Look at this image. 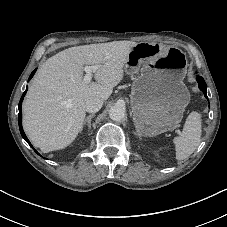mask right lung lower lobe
<instances>
[{
    "label": "right lung lower lobe",
    "mask_w": 227,
    "mask_h": 227,
    "mask_svg": "<svg viewBox=\"0 0 227 227\" xmlns=\"http://www.w3.org/2000/svg\"><path fill=\"white\" fill-rule=\"evenodd\" d=\"M36 70H34L30 77H29V80L33 77L34 73H35ZM28 90V87L26 88V91L23 93L21 99H20V102H19V115H18V122H19V129H20V133L22 135V137L27 141V143L33 148V146L31 145L30 141L28 140V138L26 137L24 131H23V128H22V110H21V105H22V101H23V98L26 94ZM34 149V148H33ZM34 151L38 154V152L34 149Z\"/></svg>",
    "instance_id": "1"
}]
</instances>
